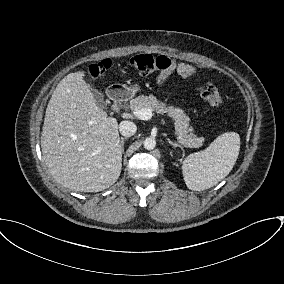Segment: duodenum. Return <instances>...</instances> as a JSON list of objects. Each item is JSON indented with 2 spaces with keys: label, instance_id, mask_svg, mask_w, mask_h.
Returning a JSON list of instances; mask_svg holds the SVG:
<instances>
[{
  "label": "duodenum",
  "instance_id": "duodenum-1",
  "mask_svg": "<svg viewBox=\"0 0 284 284\" xmlns=\"http://www.w3.org/2000/svg\"><path fill=\"white\" fill-rule=\"evenodd\" d=\"M129 91L123 87H113L109 91V97L112 101L114 110H119L120 106L129 97Z\"/></svg>",
  "mask_w": 284,
  "mask_h": 284
}]
</instances>
